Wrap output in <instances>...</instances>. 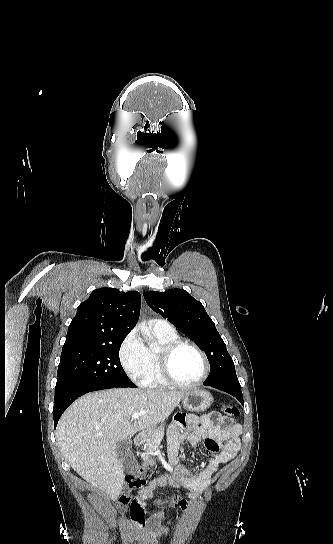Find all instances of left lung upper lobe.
I'll use <instances>...</instances> for the list:
<instances>
[{"mask_svg": "<svg viewBox=\"0 0 333 544\" xmlns=\"http://www.w3.org/2000/svg\"><path fill=\"white\" fill-rule=\"evenodd\" d=\"M144 298L152 310L168 319L204 350L210 363V374L204 384L240 385L226 345L201 302L177 288L165 292L147 291Z\"/></svg>", "mask_w": 333, "mask_h": 544, "instance_id": "left-lung-upper-lobe-1", "label": "left lung upper lobe"}]
</instances>
